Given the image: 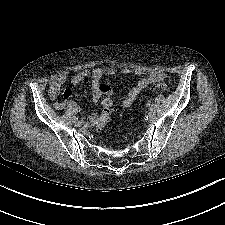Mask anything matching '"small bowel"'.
Masks as SVG:
<instances>
[{"instance_id":"1","label":"small bowel","mask_w":225,"mask_h":225,"mask_svg":"<svg viewBox=\"0 0 225 225\" xmlns=\"http://www.w3.org/2000/svg\"><path fill=\"white\" fill-rule=\"evenodd\" d=\"M116 73V69L113 67H99L93 70H84L80 73L69 77L67 72H61L57 74L51 81L49 86V97L52 101L55 102V107L57 109H62L63 103L57 101L58 96L61 93L62 86L69 81L71 85L76 86L80 84L84 79L91 77L92 81L90 84V89L92 92V98L94 102H98L101 98L103 100L105 98L111 99L112 91L111 88L107 84H102L100 82L103 76H110ZM124 75H134L140 76L141 78L130 88L127 95L122 100L121 106L122 108H129L140 95V93L148 87L150 84L165 81L167 80V76L160 70L157 69H144V68H125L122 70ZM63 98L68 99L72 96V91L70 89H66L63 92ZM96 116H91L87 125L92 126L95 123Z\"/></svg>"}]
</instances>
